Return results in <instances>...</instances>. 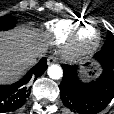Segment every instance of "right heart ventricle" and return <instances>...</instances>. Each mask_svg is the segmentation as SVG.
Segmentation results:
<instances>
[{"instance_id":"1","label":"right heart ventricle","mask_w":114,"mask_h":114,"mask_svg":"<svg viewBox=\"0 0 114 114\" xmlns=\"http://www.w3.org/2000/svg\"><path fill=\"white\" fill-rule=\"evenodd\" d=\"M78 22L71 19H55L45 25L46 32L56 43L66 41Z\"/></svg>"}]
</instances>
